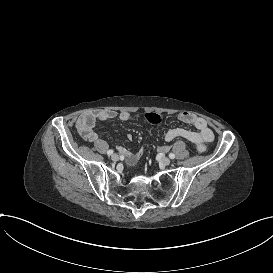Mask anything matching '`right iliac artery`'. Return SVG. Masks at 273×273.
Instances as JSON below:
<instances>
[{"mask_svg":"<svg viewBox=\"0 0 273 273\" xmlns=\"http://www.w3.org/2000/svg\"><path fill=\"white\" fill-rule=\"evenodd\" d=\"M107 154H108V155H112V154H113V150H108V151H107Z\"/></svg>","mask_w":273,"mask_h":273,"instance_id":"right-iliac-artery-1","label":"right iliac artery"}]
</instances>
